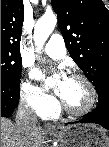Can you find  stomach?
Masks as SVG:
<instances>
[{
  "mask_svg": "<svg viewBox=\"0 0 109 147\" xmlns=\"http://www.w3.org/2000/svg\"><path fill=\"white\" fill-rule=\"evenodd\" d=\"M61 147H109L106 130L95 124H72L52 133Z\"/></svg>",
  "mask_w": 109,
  "mask_h": 147,
  "instance_id": "1",
  "label": "stomach"
}]
</instances>
